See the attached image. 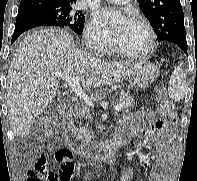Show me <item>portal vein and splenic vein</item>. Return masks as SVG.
Returning a JSON list of instances; mask_svg holds the SVG:
<instances>
[{
  "mask_svg": "<svg viewBox=\"0 0 197 181\" xmlns=\"http://www.w3.org/2000/svg\"><path fill=\"white\" fill-rule=\"evenodd\" d=\"M53 75L63 79L66 83L69 84V86L74 90V92L90 107H94V104L90 97L82 90L80 86V78L78 76H71L68 74H65L61 71H55ZM123 106L121 104H118L114 107V109L119 112L121 111Z\"/></svg>",
  "mask_w": 197,
  "mask_h": 181,
  "instance_id": "obj_1",
  "label": "portal vein and splenic vein"
}]
</instances>
